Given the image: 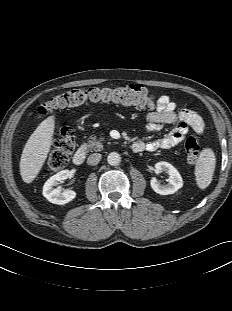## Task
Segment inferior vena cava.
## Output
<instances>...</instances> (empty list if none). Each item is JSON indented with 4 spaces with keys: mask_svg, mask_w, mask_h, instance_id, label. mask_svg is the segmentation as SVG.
<instances>
[{
    "mask_svg": "<svg viewBox=\"0 0 232 311\" xmlns=\"http://www.w3.org/2000/svg\"><path fill=\"white\" fill-rule=\"evenodd\" d=\"M101 160V154L94 153L87 158L88 165H97Z\"/></svg>",
    "mask_w": 232,
    "mask_h": 311,
    "instance_id": "obj_1",
    "label": "inferior vena cava"
}]
</instances>
